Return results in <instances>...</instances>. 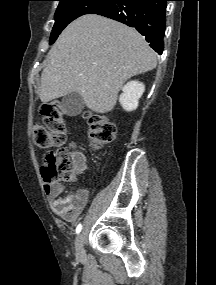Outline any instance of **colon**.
Segmentation results:
<instances>
[{
    "instance_id": "1",
    "label": "colon",
    "mask_w": 216,
    "mask_h": 285,
    "mask_svg": "<svg viewBox=\"0 0 216 285\" xmlns=\"http://www.w3.org/2000/svg\"><path fill=\"white\" fill-rule=\"evenodd\" d=\"M42 122L34 126L33 137L36 145L42 148L56 147L45 156L43 175L47 183L57 180H70L74 177V158L66 142L65 124L61 105L57 101L41 107ZM88 134L95 148H102L116 137L115 125L105 116L88 114Z\"/></svg>"
}]
</instances>
